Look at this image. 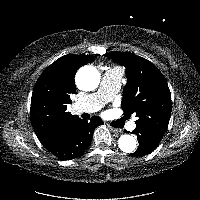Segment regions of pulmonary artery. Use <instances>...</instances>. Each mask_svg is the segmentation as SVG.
I'll return each instance as SVG.
<instances>
[{
    "label": "pulmonary artery",
    "mask_w": 200,
    "mask_h": 200,
    "mask_svg": "<svg viewBox=\"0 0 200 200\" xmlns=\"http://www.w3.org/2000/svg\"><path fill=\"white\" fill-rule=\"evenodd\" d=\"M122 72L119 69L106 70L101 79L100 87L97 92L87 95L75 104L77 112H96L106 103L111 101L121 88ZM130 129L135 128V123L131 122Z\"/></svg>",
    "instance_id": "e3ab8cb5"
}]
</instances>
